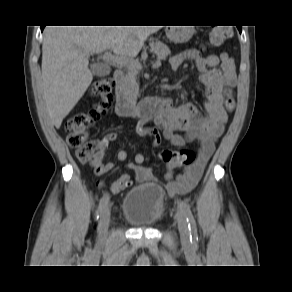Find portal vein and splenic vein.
Returning <instances> with one entry per match:
<instances>
[{
  "label": "portal vein and splenic vein",
  "instance_id": "portal-vein-and-splenic-vein-1",
  "mask_svg": "<svg viewBox=\"0 0 292 292\" xmlns=\"http://www.w3.org/2000/svg\"><path fill=\"white\" fill-rule=\"evenodd\" d=\"M101 59L107 63L113 65H125V66H132L138 69L142 68V65L134 60L130 56H123V55H113L110 51H105V53L101 56ZM161 66V60L158 59L153 63L154 68H159Z\"/></svg>",
  "mask_w": 292,
  "mask_h": 292
}]
</instances>
